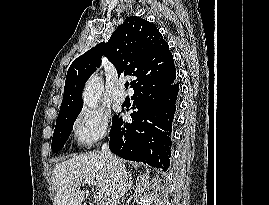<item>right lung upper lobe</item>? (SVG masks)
I'll return each instance as SVG.
<instances>
[{
	"mask_svg": "<svg viewBox=\"0 0 269 205\" xmlns=\"http://www.w3.org/2000/svg\"><path fill=\"white\" fill-rule=\"evenodd\" d=\"M102 55L116 67L119 75L135 76L131 81L134 93L176 80L173 56L161 33L147 20L130 16L108 43H99L73 61L67 72L58 118L81 111L82 89L99 67Z\"/></svg>",
	"mask_w": 269,
	"mask_h": 205,
	"instance_id": "cb5924a9",
	"label": "right lung upper lobe"
}]
</instances>
